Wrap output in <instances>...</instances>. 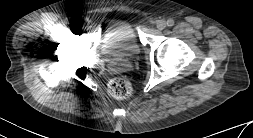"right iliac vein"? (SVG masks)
Masks as SVG:
<instances>
[{"mask_svg": "<svg viewBox=\"0 0 253 138\" xmlns=\"http://www.w3.org/2000/svg\"><path fill=\"white\" fill-rule=\"evenodd\" d=\"M69 27H70L71 29H73V30H76V29L78 28V25H77L76 23H74V22H71V23L69 24Z\"/></svg>", "mask_w": 253, "mask_h": 138, "instance_id": "right-iliac-vein-1", "label": "right iliac vein"}]
</instances>
